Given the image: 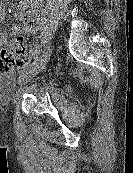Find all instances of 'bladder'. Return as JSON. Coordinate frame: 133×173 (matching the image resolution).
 <instances>
[{"label": "bladder", "mask_w": 133, "mask_h": 173, "mask_svg": "<svg viewBox=\"0 0 133 173\" xmlns=\"http://www.w3.org/2000/svg\"><path fill=\"white\" fill-rule=\"evenodd\" d=\"M15 87V73L13 71L0 73V99L11 96Z\"/></svg>", "instance_id": "bladder-1"}]
</instances>
